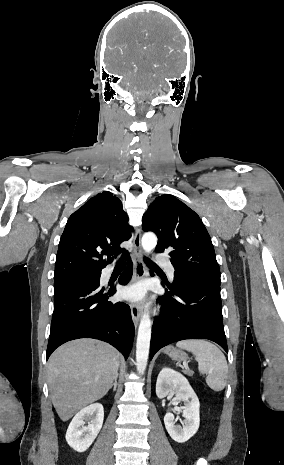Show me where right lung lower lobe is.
Wrapping results in <instances>:
<instances>
[{
    "label": "right lung lower lobe",
    "mask_w": 284,
    "mask_h": 465,
    "mask_svg": "<svg viewBox=\"0 0 284 465\" xmlns=\"http://www.w3.org/2000/svg\"><path fill=\"white\" fill-rule=\"evenodd\" d=\"M128 267L120 276L119 283L126 285L131 279L132 263L125 254ZM98 279L76 283L54 292V312L47 346V359L63 343L78 338L99 339L117 348L128 357L133 337L134 324L129 305L112 303L109 296L116 288L100 286Z\"/></svg>",
    "instance_id": "right-lung-lower-lobe-1"
}]
</instances>
